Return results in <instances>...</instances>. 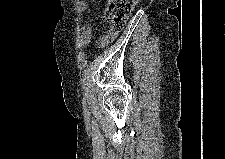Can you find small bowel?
Instances as JSON below:
<instances>
[{"label": "small bowel", "mask_w": 225, "mask_h": 159, "mask_svg": "<svg viewBox=\"0 0 225 159\" xmlns=\"http://www.w3.org/2000/svg\"><path fill=\"white\" fill-rule=\"evenodd\" d=\"M88 3L85 0H81L78 2V11L83 13L88 10ZM115 35L106 31L101 38L98 40L97 48L105 47L110 41L114 39ZM92 38V25L90 19H85L81 25L80 33L78 35V43L81 46H88Z\"/></svg>", "instance_id": "1"}]
</instances>
